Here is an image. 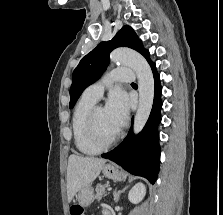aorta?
I'll return each mask as SVG.
<instances>
[{"label": "aorta", "instance_id": "obj_1", "mask_svg": "<svg viewBox=\"0 0 223 215\" xmlns=\"http://www.w3.org/2000/svg\"><path fill=\"white\" fill-rule=\"evenodd\" d=\"M111 62L129 66L138 78L139 86V106L134 119V133H139L143 129L153 106L154 100V78L152 70L145 58L128 50V48H117L110 54Z\"/></svg>", "mask_w": 223, "mask_h": 215}]
</instances>
